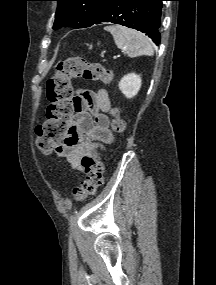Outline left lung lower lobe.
Wrapping results in <instances>:
<instances>
[{"instance_id":"0a47b994","label":"left lung lower lobe","mask_w":216,"mask_h":285,"mask_svg":"<svg viewBox=\"0 0 216 285\" xmlns=\"http://www.w3.org/2000/svg\"><path fill=\"white\" fill-rule=\"evenodd\" d=\"M162 1L165 0H112L92 25L120 24L146 33L159 45Z\"/></svg>"}]
</instances>
